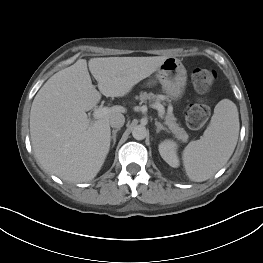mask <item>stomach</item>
Instances as JSON below:
<instances>
[{"label":"stomach","mask_w":263,"mask_h":263,"mask_svg":"<svg viewBox=\"0 0 263 263\" xmlns=\"http://www.w3.org/2000/svg\"><path fill=\"white\" fill-rule=\"evenodd\" d=\"M156 78L168 98L171 100L181 98L186 86L187 71L179 59L167 57L157 69Z\"/></svg>","instance_id":"obj_1"}]
</instances>
